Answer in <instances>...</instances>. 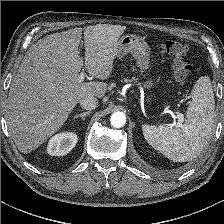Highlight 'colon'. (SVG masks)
<instances>
[{
  "label": "colon",
  "instance_id": "colon-1",
  "mask_svg": "<svg viewBox=\"0 0 224 224\" xmlns=\"http://www.w3.org/2000/svg\"><path fill=\"white\" fill-rule=\"evenodd\" d=\"M188 50V45L180 40H167L160 45V51L171 59L173 77L180 85L186 84L192 72Z\"/></svg>",
  "mask_w": 224,
  "mask_h": 224
}]
</instances>
